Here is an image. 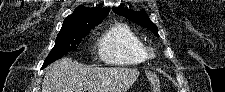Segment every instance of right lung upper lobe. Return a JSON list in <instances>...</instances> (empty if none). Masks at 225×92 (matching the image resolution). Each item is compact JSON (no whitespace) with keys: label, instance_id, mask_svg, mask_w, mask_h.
I'll list each match as a JSON object with an SVG mask.
<instances>
[{"label":"right lung upper lobe","instance_id":"right-lung-upper-lobe-1","mask_svg":"<svg viewBox=\"0 0 225 92\" xmlns=\"http://www.w3.org/2000/svg\"><path fill=\"white\" fill-rule=\"evenodd\" d=\"M109 8L77 7L74 12L66 17L61 29H73L103 20L108 14Z\"/></svg>","mask_w":225,"mask_h":92}]
</instances>
